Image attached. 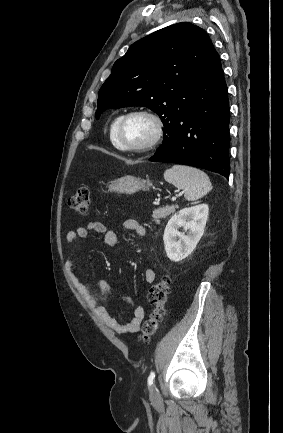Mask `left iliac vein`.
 I'll return each instance as SVG.
<instances>
[{"label": "left iliac vein", "mask_w": 283, "mask_h": 433, "mask_svg": "<svg viewBox=\"0 0 283 433\" xmlns=\"http://www.w3.org/2000/svg\"><path fill=\"white\" fill-rule=\"evenodd\" d=\"M150 399L155 406L161 405V397L156 390V387L153 385L150 388Z\"/></svg>", "instance_id": "obj_1"}]
</instances>
